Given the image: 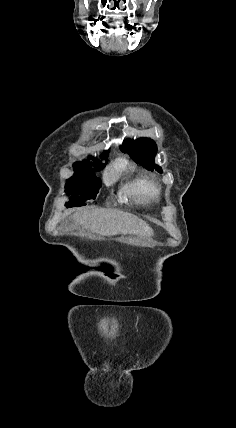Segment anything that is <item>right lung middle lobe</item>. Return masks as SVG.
<instances>
[{"label":"right lung middle lobe","mask_w":236,"mask_h":428,"mask_svg":"<svg viewBox=\"0 0 236 428\" xmlns=\"http://www.w3.org/2000/svg\"><path fill=\"white\" fill-rule=\"evenodd\" d=\"M99 170L74 169V176L67 180L65 186L67 195H71L65 204L67 208L86 205L87 200L96 198L102 182L94 172Z\"/></svg>","instance_id":"right-lung-middle-lobe-1"}]
</instances>
